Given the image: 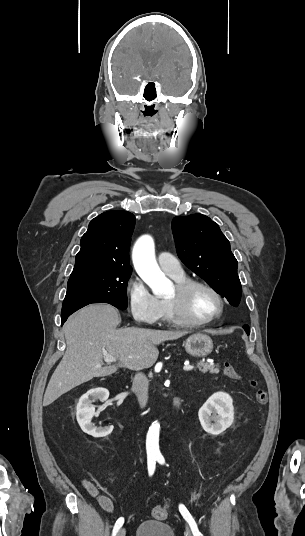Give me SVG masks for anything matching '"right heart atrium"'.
<instances>
[{"label":"right heart atrium","mask_w":305,"mask_h":536,"mask_svg":"<svg viewBox=\"0 0 305 536\" xmlns=\"http://www.w3.org/2000/svg\"><path fill=\"white\" fill-rule=\"evenodd\" d=\"M126 293L130 313L136 320L148 324L158 321L163 312L162 301L156 298L140 279L131 278Z\"/></svg>","instance_id":"obj_1"}]
</instances>
